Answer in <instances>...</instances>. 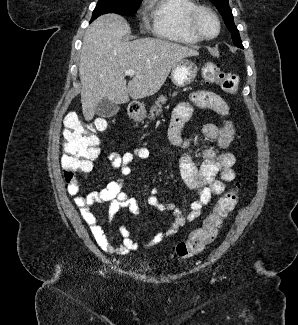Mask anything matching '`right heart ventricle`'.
Masks as SVG:
<instances>
[{"mask_svg":"<svg viewBox=\"0 0 298 325\" xmlns=\"http://www.w3.org/2000/svg\"><path fill=\"white\" fill-rule=\"evenodd\" d=\"M197 4L189 0H164L150 2L146 11L150 17L151 37H167L168 41H180V46H196L200 41L186 28L187 15Z\"/></svg>","mask_w":298,"mask_h":325,"instance_id":"e07e8e85","label":"right heart ventricle"}]
</instances>
